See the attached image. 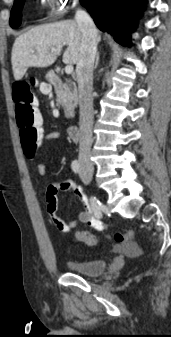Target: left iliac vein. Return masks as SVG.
Returning <instances> with one entry per match:
<instances>
[{
  "mask_svg": "<svg viewBox=\"0 0 171 337\" xmlns=\"http://www.w3.org/2000/svg\"><path fill=\"white\" fill-rule=\"evenodd\" d=\"M80 178H81L82 182L85 183V184H89L90 181H91V176L88 175V174L85 172L84 169H82V170L80 171Z\"/></svg>",
  "mask_w": 171,
  "mask_h": 337,
  "instance_id": "1",
  "label": "left iliac vein"
}]
</instances>
